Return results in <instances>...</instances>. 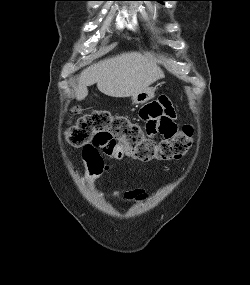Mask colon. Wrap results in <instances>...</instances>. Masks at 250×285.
I'll use <instances>...</instances> for the list:
<instances>
[{"label": "colon", "mask_w": 250, "mask_h": 285, "mask_svg": "<svg viewBox=\"0 0 250 285\" xmlns=\"http://www.w3.org/2000/svg\"><path fill=\"white\" fill-rule=\"evenodd\" d=\"M142 128L126 116L95 110L71 125L66 138L75 147L102 149L108 155L122 149L124 154L141 161L179 159L191 146L193 128L189 125L175 136H164L163 141L144 136Z\"/></svg>", "instance_id": "1"}]
</instances>
